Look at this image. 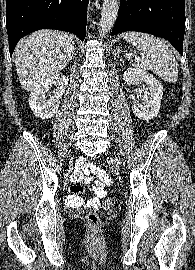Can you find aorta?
Returning a JSON list of instances; mask_svg holds the SVG:
<instances>
[{
    "label": "aorta",
    "mask_w": 195,
    "mask_h": 270,
    "mask_svg": "<svg viewBox=\"0 0 195 270\" xmlns=\"http://www.w3.org/2000/svg\"><path fill=\"white\" fill-rule=\"evenodd\" d=\"M119 0H104L99 33L104 37L113 27L118 16Z\"/></svg>",
    "instance_id": "obj_1"
}]
</instances>
